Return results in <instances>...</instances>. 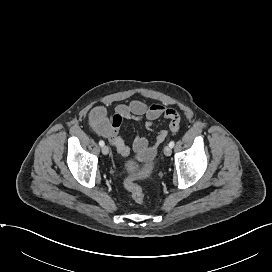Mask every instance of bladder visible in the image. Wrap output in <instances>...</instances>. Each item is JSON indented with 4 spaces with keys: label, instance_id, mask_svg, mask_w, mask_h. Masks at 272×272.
Here are the masks:
<instances>
[{
    "label": "bladder",
    "instance_id": "1",
    "mask_svg": "<svg viewBox=\"0 0 272 272\" xmlns=\"http://www.w3.org/2000/svg\"><path fill=\"white\" fill-rule=\"evenodd\" d=\"M126 167H127V169H128L129 171H133V170L136 169V164H135L134 162L130 161V162H128V163L126 164Z\"/></svg>",
    "mask_w": 272,
    "mask_h": 272
}]
</instances>
